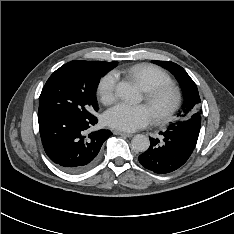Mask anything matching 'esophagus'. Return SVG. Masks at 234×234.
Segmentation results:
<instances>
[{"label": "esophagus", "instance_id": "1", "mask_svg": "<svg viewBox=\"0 0 234 234\" xmlns=\"http://www.w3.org/2000/svg\"><path fill=\"white\" fill-rule=\"evenodd\" d=\"M114 134L125 136V137H132L133 136L132 133H127V132H122V131H114Z\"/></svg>", "mask_w": 234, "mask_h": 234}]
</instances>
